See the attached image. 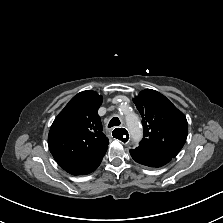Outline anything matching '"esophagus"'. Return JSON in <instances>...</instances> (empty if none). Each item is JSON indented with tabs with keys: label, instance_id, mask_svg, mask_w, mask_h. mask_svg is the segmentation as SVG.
I'll list each match as a JSON object with an SVG mask.
<instances>
[{
	"label": "esophagus",
	"instance_id": "obj_1",
	"mask_svg": "<svg viewBox=\"0 0 223 223\" xmlns=\"http://www.w3.org/2000/svg\"><path fill=\"white\" fill-rule=\"evenodd\" d=\"M113 138L121 142L122 144H128L130 141L129 131L125 127L113 128Z\"/></svg>",
	"mask_w": 223,
	"mask_h": 223
}]
</instances>
